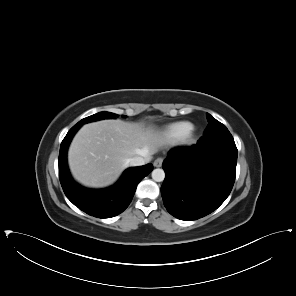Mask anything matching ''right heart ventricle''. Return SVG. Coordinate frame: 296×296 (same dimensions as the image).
Here are the masks:
<instances>
[{"instance_id": "e07e8e85", "label": "right heart ventricle", "mask_w": 296, "mask_h": 296, "mask_svg": "<svg viewBox=\"0 0 296 296\" xmlns=\"http://www.w3.org/2000/svg\"><path fill=\"white\" fill-rule=\"evenodd\" d=\"M193 126L189 122H175L168 125L164 131L163 135L171 142H176L185 139L187 135L191 132Z\"/></svg>"}]
</instances>
